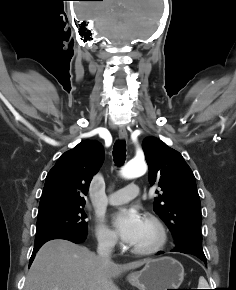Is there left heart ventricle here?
<instances>
[{
	"label": "left heart ventricle",
	"mask_w": 236,
	"mask_h": 290,
	"mask_svg": "<svg viewBox=\"0 0 236 290\" xmlns=\"http://www.w3.org/2000/svg\"><path fill=\"white\" fill-rule=\"evenodd\" d=\"M156 238L155 231L153 228L143 221L142 229L136 239L132 244V247H144L152 244Z\"/></svg>",
	"instance_id": "b2bd125f"
}]
</instances>
